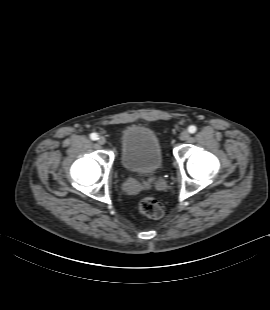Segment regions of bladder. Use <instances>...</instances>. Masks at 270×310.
<instances>
[{"mask_svg":"<svg viewBox=\"0 0 270 310\" xmlns=\"http://www.w3.org/2000/svg\"><path fill=\"white\" fill-rule=\"evenodd\" d=\"M120 161L130 172L151 175L163 166V153L157 134L144 126H129L120 136Z\"/></svg>","mask_w":270,"mask_h":310,"instance_id":"bladder-1","label":"bladder"}]
</instances>
